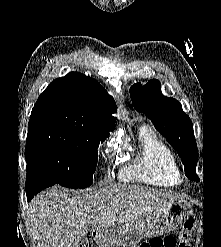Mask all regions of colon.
Listing matches in <instances>:
<instances>
[{
	"label": "colon",
	"instance_id": "1",
	"mask_svg": "<svg viewBox=\"0 0 221 247\" xmlns=\"http://www.w3.org/2000/svg\"><path fill=\"white\" fill-rule=\"evenodd\" d=\"M195 228L194 218H187L181 227L177 239L172 237H155L144 242L140 247H191L192 234ZM79 247H92L89 239L82 242Z\"/></svg>",
	"mask_w": 221,
	"mask_h": 247
}]
</instances>
